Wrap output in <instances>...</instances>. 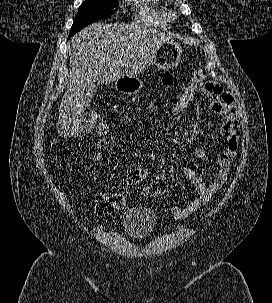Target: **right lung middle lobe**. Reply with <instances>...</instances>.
<instances>
[{"instance_id":"obj_1","label":"right lung middle lobe","mask_w":272,"mask_h":303,"mask_svg":"<svg viewBox=\"0 0 272 303\" xmlns=\"http://www.w3.org/2000/svg\"><path fill=\"white\" fill-rule=\"evenodd\" d=\"M118 5V0H85L78 9L69 37L91 22L110 17L114 12L113 8Z\"/></svg>"}]
</instances>
